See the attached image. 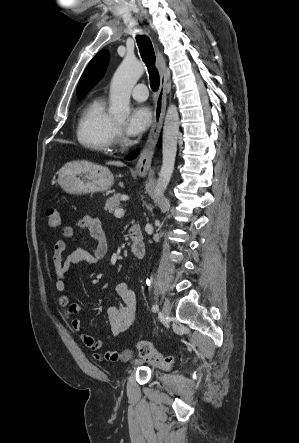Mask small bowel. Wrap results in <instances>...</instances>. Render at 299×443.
I'll return each mask as SVG.
<instances>
[{
    "mask_svg": "<svg viewBox=\"0 0 299 443\" xmlns=\"http://www.w3.org/2000/svg\"><path fill=\"white\" fill-rule=\"evenodd\" d=\"M75 227L88 229L90 236L96 241V247L93 253L77 249L66 254L68 241L74 239L75 228L72 226H64L62 228L61 234L63 238L56 241L53 247V270L56 277L55 290L58 294L56 307L63 319L68 321L72 329L78 333L84 345L93 352L96 360L100 362H118L122 358L119 352L113 350L103 351L105 342L95 339L84 332L82 321L76 315L82 311H87V309L78 303L70 302L68 295L65 293L67 273L70 268L83 262L95 264L106 256L108 250L106 237L99 220L90 215H85L76 222ZM116 294L120 299V304L110 307L107 312L108 324L114 336L124 333L131 327L135 319L137 307L136 294L127 283H120L116 287Z\"/></svg>",
    "mask_w": 299,
    "mask_h": 443,
    "instance_id": "c3829d8e",
    "label": "small bowel"
}]
</instances>
